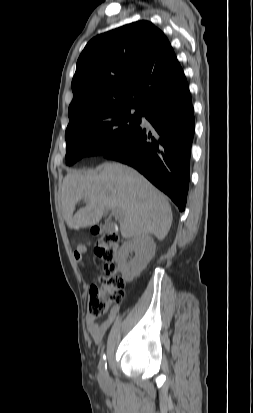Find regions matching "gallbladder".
Wrapping results in <instances>:
<instances>
[{
  "label": "gallbladder",
  "instance_id": "1",
  "mask_svg": "<svg viewBox=\"0 0 253 413\" xmlns=\"http://www.w3.org/2000/svg\"><path fill=\"white\" fill-rule=\"evenodd\" d=\"M103 230L106 231V232L113 231L114 230V224L111 223V222H106L103 225Z\"/></svg>",
  "mask_w": 253,
  "mask_h": 413
}]
</instances>
